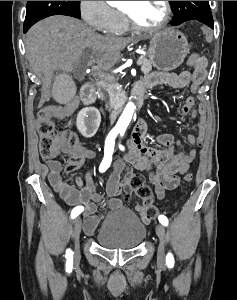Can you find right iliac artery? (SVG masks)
Masks as SVG:
<instances>
[{"mask_svg":"<svg viewBox=\"0 0 237 300\" xmlns=\"http://www.w3.org/2000/svg\"><path fill=\"white\" fill-rule=\"evenodd\" d=\"M119 131H111L105 141V147H104V158L99 166L100 172H105L111 165L112 161V154L114 152V145H115V138L118 135ZM84 210L83 206H77L75 207L71 212V218H76L82 211ZM65 257L70 260V262L73 260V253L71 249L66 250Z\"/></svg>","mask_w":237,"mask_h":300,"instance_id":"1","label":"right iliac artery"}]
</instances>
